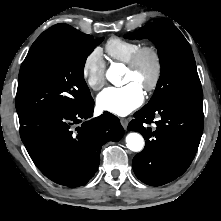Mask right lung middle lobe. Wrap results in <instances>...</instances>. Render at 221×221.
<instances>
[{
	"label": "right lung middle lobe",
	"instance_id": "obj_1",
	"mask_svg": "<svg viewBox=\"0 0 221 221\" xmlns=\"http://www.w3.org/2000/svg\"><path fill=\"white\" fill-rule=\"evenodd\" d=\"M103 39L84 34L46 44L26 56L16 95L20 123L40 114L79 109L92 98L84 80V65Z\"/></svg>",
	"mask_w": 221,
	"mask_h": 221
}]
</instances>
